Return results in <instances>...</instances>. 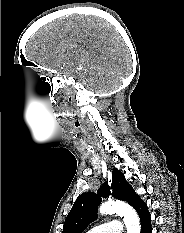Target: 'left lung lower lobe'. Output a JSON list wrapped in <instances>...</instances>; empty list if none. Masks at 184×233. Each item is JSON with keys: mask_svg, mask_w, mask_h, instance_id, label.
<instances>
[{"mask_svg": "<svg viewBox=\"0 0 184 233\" xmlns=\"http://www.w3.org/2000/svg\"><path fill=\"white\" fill-rule=\"evenodd\" d=\"M133 208L137 211L141 222V233H152L150 213L147 205L140 198L134 203Z\"/></svg>", "mask_w": 184, "mask_h": 233, "instance_id": "obj_1", "label": "left lung lower lobe"}]
</instances>
